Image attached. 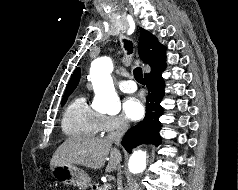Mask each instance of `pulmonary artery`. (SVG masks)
Here are the masks:
<instances>
[{"instance_id": "obj_1", "label": "pulmonary artery", "mask_w": 238, "mask_h": 190, "mask_svg": "<svg viewBox=\"0 0 238 190\" xmlns=\"http://www.w3.org/2000/svg\"><path fill=\"white\" fill-rule=\"evenodd\" d=\"M118 86H119L120 90L125 93H133L137 89L135 82L132 80L120 81L118 83Z\"/></svg>"}]
</instances>
